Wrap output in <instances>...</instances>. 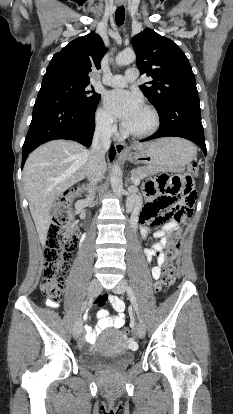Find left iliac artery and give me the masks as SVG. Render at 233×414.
<instances>
[{
  "label": "left iliac artery",
  "mask_w": 233,
  "mask_h": 414,
  "mask_svg": "<svg viewBox=\"0 0 233 414\" xmlns=\"http://www.w3.org/2000/svg\"><path fill=\"white\" fill-rule=\"evenodd\" d=\"M127 293H128V296L130 297V300H131V302H132V305H133V307H134V310H135V312L137 313V315L139 316V308H138V304H137V301H136V298H135V295H134V293H133V290L131 289V287H127Z\"/></svg>",
  "instance_id": "44dca946"
}]
</instances>
